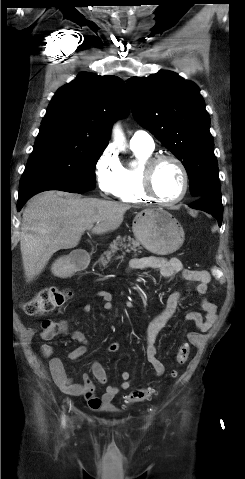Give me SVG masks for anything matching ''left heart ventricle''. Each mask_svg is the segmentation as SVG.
Masks as SVG:
<instances>
[{
    "instance_id": "left-heart-ventricle-1",
    "label": "left heart ventricle",
    "mask_w": 245,
    "mask_h": 479,
    "mask_svg": "<svg viewBox=\"0 0 245 479\" xmlns=\"http://www.w3.org/2000/svg\"><path fill=\"white\" fill-rule=\"evenodd\" d=\"M157 194L166 201L174 200L182 192L183 177L178 166L173 162H163L154 177Z\"/></svg>"
}]
</instances>
